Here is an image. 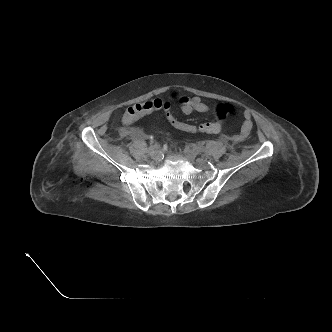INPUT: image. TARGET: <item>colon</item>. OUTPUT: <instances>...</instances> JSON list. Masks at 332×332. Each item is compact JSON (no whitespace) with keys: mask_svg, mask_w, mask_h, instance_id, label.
Segmentation results:
<instances>
[{"mask_svg":"<svg viewBox=\"0 0 332 332\" xmlns=\"http://www.w3.org/2000/svg\"><path fill=\"white\" fill-rule=\"evenodd\" d=\"M156 111H163L168 123L173 128L189 134L217 133L221 130L224 120L228 116L237 113V109L234 106L221 104L217 106L214 117L211 120L194 125L179 118L171 109V104L168 101L155 98L130 106L123 115V122L129 124L139 117Z\"/></svg>","mask_w":332,"mask_h":332,"instance_id":"colon-1","label":"colon"}]
</instances>
